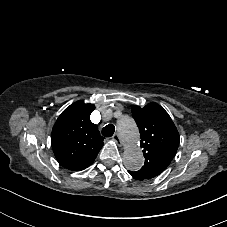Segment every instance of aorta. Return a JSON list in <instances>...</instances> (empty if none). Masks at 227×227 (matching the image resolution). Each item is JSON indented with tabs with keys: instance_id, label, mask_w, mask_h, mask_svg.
Wrapping results in <instances>:
<instances>
[{
	"instance_id": "aorta-1",
	"label": "aorta",
	"mask_w": 227,
	"mask_h": 227,
	"mask_svg": "<svg viewBox=\"0 0 227 227\" xmlns=\"http://www.w3.org/2000/svg\"><path fill=\"white\" fill-rule=\"evenodd\" d=\"M118 132L125 145L123 163L130 171H138L144 164L142 149L139 147V131L135 121L128 116L121 117Z\"/></svg>"
}]
</instances>
